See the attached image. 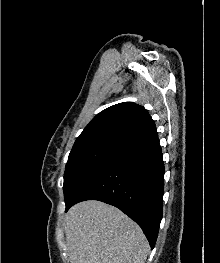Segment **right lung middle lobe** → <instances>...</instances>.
<instances>
[{"label":"right lung middle lobe","instance_id":"dd1d6c3e","mask_svg":"<svg viewBox=\"0 0 220 263\" xmlns=\"http://www.w3.org/2000/svg\"><path fill=\"white\" fill-rule=\"evenodd\" d=\"M119 152L105 148L71 151L64 174L66 205L74 201L81 189Z\"/></svg>","mask_w":220,"mask_h":263}]
</instances>
